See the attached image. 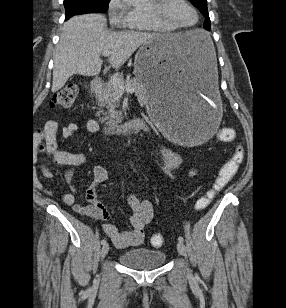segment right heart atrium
<instances>
[{
	"label": "right heart atrium",
	"instance_id": "obj_1",
	"mask_svg": "<svg viewBox=\"0 0 286 308\" xmlns=\"http://www.w3.org/2000/svg\"><path fill=\"white\" fill-rule=\"evenodd\" d=\"M107 14L112 26L130 28L134 21L135 10L127 0H108Z\"/></svg>",
	"mask_w": 286,
	"mask_h": 308
}]
</instances>
